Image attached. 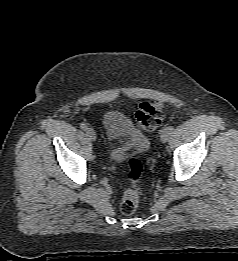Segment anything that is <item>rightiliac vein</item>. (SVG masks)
<instances>
[{
	"label": "right iliac vein",
	"mask_w": 238,
	"mask_h": 261,
	"mask_svg": "<svg viewBox=\"0 0 238 261\" xmlns=\"http://www.w3.org/2000/svg\"><path fill=\"white\" fill-rule=\"evenodd\" d=\"M86 135L88 138L92 141L96 140V132L92 128H87L86 129Z\"/></svg>",
	"instance_id": "right-iliac-vein-1"
}]
</instances>
